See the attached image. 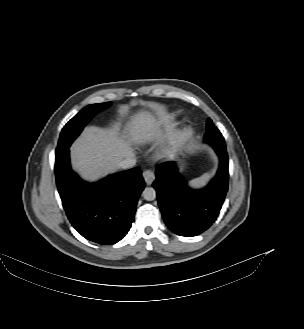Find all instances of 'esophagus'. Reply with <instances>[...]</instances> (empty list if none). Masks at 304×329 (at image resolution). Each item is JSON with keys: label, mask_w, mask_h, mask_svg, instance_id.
Listing matches in <instances>:
<instances>
[{"label": "esophagus", "mask_w": 304, "mask_h": 329, "mask_svg": "<svg viewBox=\"0 0 304 329\" xmlns=\"http://www.w3.org/2000/svg\"><path fill=\"white\" fill-rule=\"evenodd\" d=\"M143 178H144V180H145V182H146L147 185H151L152 182L155 179V174L151 170H145L143 172Z\"/></svg>", "instance_id": "34e87169"}]
</instances>
